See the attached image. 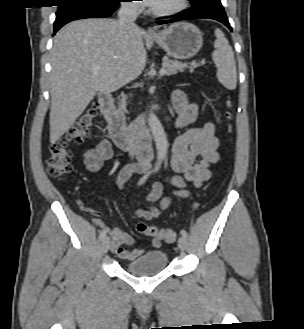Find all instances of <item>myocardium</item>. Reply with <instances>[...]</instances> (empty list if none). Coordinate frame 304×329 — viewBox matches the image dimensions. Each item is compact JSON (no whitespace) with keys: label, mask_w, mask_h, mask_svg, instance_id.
<instances>
[{"label":"myocardium","mask_w":304,"mask_h":329,"mask_svg":"<svg viewBox=\"0 0 304 329\" xmlns=\"http://www.w3.org/2000/svg\"><path fill=\"white\" fill-rule=\"evenodd\" d=\"M189 5V0H179L175 6L165 9L150 8L149 12L156 17H169L183 12Z\"/></svg>","instance_id":"myocardium-1"}]
</instances>
